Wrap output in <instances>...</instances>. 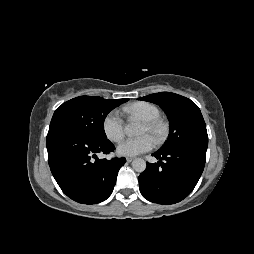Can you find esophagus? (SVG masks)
<instances>
[{"instance_id":"1","label":"esophagus","mask_w":254,"mask_h":254,"mask_svg":"<svg viewBox=\"0 0 254 254\" xmlns=\"http://www.w3.org/2000/svg\"><path fill=\"white\" fill-rule=\"evenodd\" d=\"M133 159H134V158H132V157H127V158H126V161H127V162H132Z\"/></svg>"}]
</instances>
